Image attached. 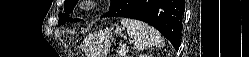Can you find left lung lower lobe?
<instances>
[{
    "mask_svg": "<svg viewBox=\"0 0 249 57\" xmlns=\"http://www.w3.org/2000/svg\"><path fill=\"white\" fill-rule=\"evenodd\" d=\"M184 10V0H114L103 17H127L147 22L178 49Z\"/></svg>",
    "mask_w": 249,
    "mask_h": 57,
    "instance_id": "1",
    "label": "left lung lower lobe"
}]
</instances>
